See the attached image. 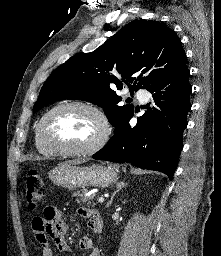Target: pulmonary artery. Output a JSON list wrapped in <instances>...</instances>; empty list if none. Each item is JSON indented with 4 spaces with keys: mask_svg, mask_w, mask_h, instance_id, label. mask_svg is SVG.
<instances>
[{
    "mask_svg": "<svg viewBox=\"0 0 221 256\" xmlns=\"http://www.w3.org/2000/svg\"><path fill=\"white\" fill-rule=\"evenodd\" d=\"M137 98H138L140 101L145 102V101H147L148 98H149V93H148L146 90H144V89H140V90H138V92H137Z\"/></svg>",
    "mask_w": 221,
    "mask_h": 256,
    "instance_id": "pulmonary-artery-1",
    "label": "pulmonary artery"
}]
</instances>
